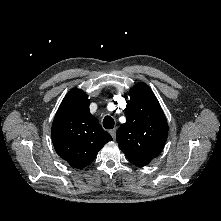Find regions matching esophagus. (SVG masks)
I'll list each match as a JSON object with an SVG mask.
<instances>
[{"label":"esophagus","mask_w":221,"mask_h":221,"mask_svg":"<svg viewBox=\"0 0 221 221\" xmlns=\"http://www.w3.org/2000/svg\"><path fill=\"white\" fill-rule=\"evenodd\" d=\"M110 135L112 136L113 139L116 137V128H113L109 131Z\"/></svg>","instance_id":"1"}]
</instances>
